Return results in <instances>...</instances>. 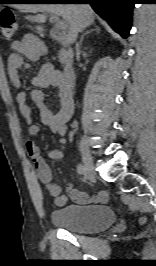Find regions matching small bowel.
Returning a JSON list of instances; mask_svg holds the SVG:
<instances>
[{"mask_svg":"<svg viewBox=\"0 0 156 266\" xmlns=\"http://www.w3.org/2000/svg\"><path fill=\"white\" fill-rule=\"evenodd\" d=\"M12 49L13 52L9 55L7 60V74L12 85L19 87L20 72L27 67L24 59L26 58L30 61L38 59L42 53V48L35 36L26 35L21 40L13 42ZM32 83L36 89L29 93L22 91L17 94L16 100L19 105V111L26 120L29 136L33 137L39 133L40 129L32 120V111L28 100L38 108L41 122L60 137L59 142L61 147L50 150L48 156L51 159L60 160L64 152V135L67 132V123L74 110L72 93L62 86L60 73L51 65L42 66L37 75L33 78ZM51 86L56 87L58 90V109L55 112L45 105L44 101L46 95L42 91L43 88ZM25 148L34 164L39 181L45 186L49 195L54 198L57 206L66 205L69 198L78 204H102L107 202L108 194L104 191H100L90 197L85 192L79 191L73 186H69L67 195H64L60 185L53 179L51 168L41 156L36 143L29 139L26 141Z\"/></svg>","mask_w":156,"mask_h":266,"instance_id":"c3829d8e","label":"small bowel"}]
</instances>
